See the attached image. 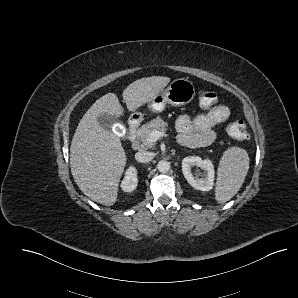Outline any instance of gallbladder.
Listing matches in <instances>:
<instances>
[{
  "mask_svg": "<svg viewBox=\"0 0 298 298\" xmlns=\"http://www.w3.org/2000/svg\"><path fill=\"white\" fill-rule=\"evenodd\" d=\"M97 122L104 129L111 131L113 126L119 123L120 120L112 113H99L97 115Z\"/></svg>",
  "mask_w": 298,
  "mask_h": 298,
  "instance_id": "obj_1",
  "label": "gallbladder"
}]
</instances>
